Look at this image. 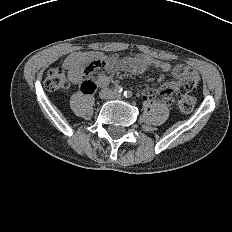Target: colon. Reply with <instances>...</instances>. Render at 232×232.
Masks as SVG:
<instances>
[{
  "mask_svg": "<svg viewBox=\"0 0 232 232\" xmlns=\"http://www.w3.org/2000/svg\"><path fill=\"white\" fill-rule=\"evenodd\" d=\"M135 57H127L124 60L128 63H134ZM121 60L118 56L112 55L108 57L103 56H94L90 58L87 62L86 67L84 68L83 75L84 80L82 81L80 88L83 93H92L95 85L93 81L94 74L103 69L107 68L109 65L117 64ZM67 86V80L64 75V72L60 68H51L46 75L44 80V87L48 91H54L58 89H63ZM194 89L190 86L184 85L179 87L175 94L178 96V105L181 111L190 112L195 104V98L190 94ZM162 94V93H161ZM160 94V95H161ZM172 95V93H171ZM173 98L167 104L173 103Z\"/></svg>",
  "mask_w": 232,
  "mask_h": 232,
  "instance_id": "colon-1",
  "label": "colon"
}]
</instances>
